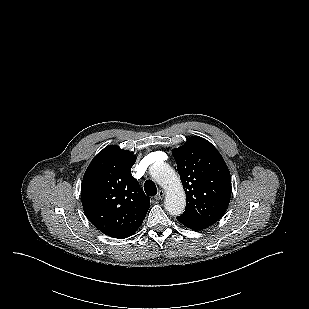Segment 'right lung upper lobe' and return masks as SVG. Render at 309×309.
I'll return each instance as SVG.
<instances>
[{
  "instance_id": "1",
  "label": "right lung upper lobe",
  "mask_w": 309,
  "mask_h": 309,
  "mask_svg": "<svg viewBox=\"0 0 309 309\" xmlns=\"http://www.w3.org/2000/svg\"><path fill=\"white\" fill-rule=\"evenodd\" d=\"M135 161L133 153L110 145L94 157L82 180L85 215L110 237L133 235L150 207V198L131 175Z\"/></svg>"
}]
</instances>
